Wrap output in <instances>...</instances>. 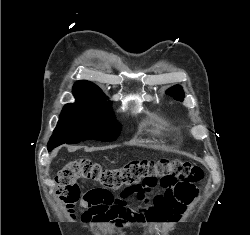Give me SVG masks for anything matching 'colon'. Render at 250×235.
<instances>
[{"label": "colon", "instance_id": "5ec220e1", "mask_svg": "<svg viewBox=\"0 0 250 235\" xmlns=\"http://www.w3.org/2000/svg\"><path fill=\"white\" fill-rule=\"evenodd\" d=\"M99 183L102 188L80 193L79 180ZM203 180L202 169L182 159H136L119 168H109L89 158L69 161L59 171L56 195L68 214L81 200L88 222L110 225L122 229L147 222L143 214L135 213L126 199L139 191H152L156 187L173 188L176 197L191 203L198 194L197 184ZM123 189L120 197L111 190Z\"/></svg>", "mask_w": 250, "mask_h": 235}]
</instances>
